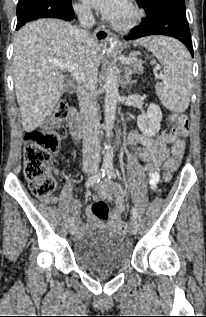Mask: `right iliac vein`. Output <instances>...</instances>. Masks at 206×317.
<instances>
[{"label":"right iliac vein","mask_w":206,"mask_h":317,"mask_svg":"<svg viewBox=\"0 0 206 317\" xmlns=\"http://www.w3.org/2000/svg\"><path fill=\"white\" fill-rule=\"evenodd\" d=\"M68 231L71 235H73L76 232V226L74 223L69 225Z\"/></svg>","instance_id":"63e3f726"}]
</instances>
